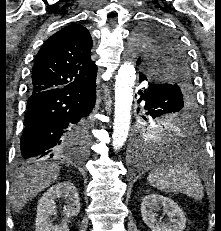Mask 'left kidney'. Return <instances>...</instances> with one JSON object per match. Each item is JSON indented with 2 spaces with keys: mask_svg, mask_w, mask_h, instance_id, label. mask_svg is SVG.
<instances>
[{
  "mask_svg": "<svg viewBox=\"0 0 221 231\" xmlns=\"http://www.w3.org/2000/svg\"><path fill=\"white\" fill-rule=\"evenodd\" d=\"M162 208L167 221L158 219L157 212ZM141 216L152 231H183L186 226L184 212L172 199L159 194H149L141 203Z\"/></svg>",
  "mask_w": 221,
  "mask_h": 231,
  "instance_id": "left-kidney-1",
  "label": "left kidney"
}]
</instances>
